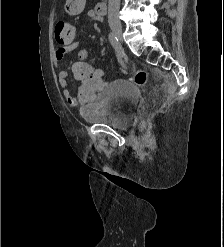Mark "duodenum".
Instances as JSON below:
<instances>
[{"label":"duodenum","mask_w":224,"mask_h":247,"mask_svg":"<svg viewBox=\"0 0 224 247\" xmlns=\"http://www.w3.org/2000/svg\"><path fill=\"white\" fill-rule=\"evenodd\" d=\"M105 10H106V3H105V1H101L100 3H98L96 5L97 14L102 15V14L105 13Z\"/></svg>","instance_id":"obj_1"}]
</instances>
